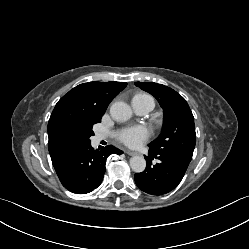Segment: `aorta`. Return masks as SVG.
Returning a JSON list of instances; mask_svg holds the SVG:
<instances>
[{
    "instance_id": "aorta-1",
    "label": "aorta",
    "mask_w": 249,
    "mask_h": 249,
    "mask_svg": "<svg viewBox=\"0 0 249 249\" xmlns=\"http://www.w3.org/2000/svg\"><path fill=\"white\" fill-rule=\"evenodd\" d=\"M111 117L118 122H124L131 118V107L122 101L114 102L110 107ZM131 169L136 173H141L146 168V160L143 156H133L130 159Z\"/></svg>"
}]
</instances>
